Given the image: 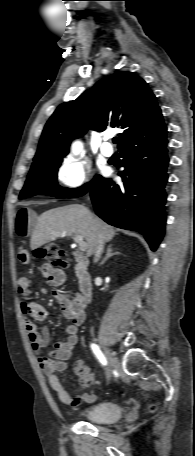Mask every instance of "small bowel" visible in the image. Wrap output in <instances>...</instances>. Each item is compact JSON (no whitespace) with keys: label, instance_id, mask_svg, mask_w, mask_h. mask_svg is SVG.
Returning <instances> with one entry per match:
<instances>
[{"label":"small bowel","instance_id":"c3829d8e","mask_svg":"<svg viewBox=\"0 0 195 456\" xmlns=\"http://www.w3.org/2000/svg\"><path fill=\"white\" fill-rule=\"evenodd\" d=\"M33 219L34 214L30 209L22 208L17 212L15 231L18 236L26 237L31 234ZM18 259L23 264H28L30 262L29 252L26 249H20ZM40 273L53 287H60L66 279L62 268H54L46 263L41 265ZM17 288L21 296H28L30 293V279L26 276L20 277L17 282ZM53 297L59 303L64 317L69 321L65 330L67 336L64 340L54 345L51 357H39V362L48 378L50 387L56 392L58 399L66 406L75 408L83 401H95L96 395L83 393L74 397L70 396L60 382L57 373L67 368L68 360L71 358L78 343V330L85 319V302L80 295L62 290H54ZM20 308L25 316V328L31 347L39 354L50 343V332L47 328L38 330L34 321L45 320L47 311L42 305L27 299L21 300ZM74 371L83 387H89L93 384L94 375L84 361L77 360L74 365Z\"/></svg>","mask_w":195,"mask_h":456}]
</instances>
